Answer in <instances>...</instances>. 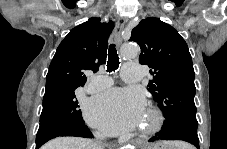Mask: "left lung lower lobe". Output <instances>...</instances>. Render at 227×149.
Returning a JSON list of instances; mask_svg holds the SVG:
<instances>
[{"mask_svg":"<svg viewBox=\"0 0 227 149\" xmlns=\"http://www.w3.org/2000/svg\"><path fill=\"white\" fill-rule=\"evenodd\" d=\"M197 127L198 122L196 118H185L180 116L168 118L164 121L162 129L149 141L183 140L193 144L199 149Z\"/></svg>","mask_w":227,"mask_h":149,"instance_id":"obj_1","label":"left lung lower lobe"}]
</instances>
